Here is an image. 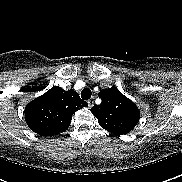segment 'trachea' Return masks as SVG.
<instances>
[{"label":"trachea","instance_id":"trachea-1","mask_svg":"<svg viewBox=\"0 0 182 182\" xmlns=\"http://www.w3.org/2000/svg\"><path fill=\"white\" fill-rule=\"evenodd\" d=\"M91 95H92V92L88 88L83 89L81 92V98L85 100L90 99Z\"/></svg>","mask_w":182,"mask_h":182}]
</instances>
